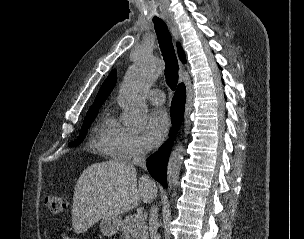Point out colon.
I'll return each instance as SVG.
<instances>
[{
  "label": "colon",
  "mask_w": 304,
  "mask_h": 239,
  "mask_svg": "<svg viewBox=\"0 0 304 239\" xmlns=\"http://www.w3.org/2000/svg\"><path fill=\"white\" fill-rule=\"evenodd\" d=\"M45 204L53 216H60L68 207V200L64 195H49Z\"/></svg>",
  "instance_id": "obj_1"
}]
</instances>
